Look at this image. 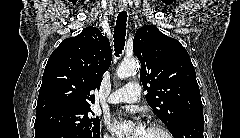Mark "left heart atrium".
Here are the masks:
<instances>
[{
    "mask_svg": "<svg viewBox=\"0 0 240 138\" xmlns=\"http://www.w3.org/2000/svg\"><path fill=\"white\" fill-rule=\"evenodd\" d=\"M111 129L117 136L130 138H143L146 132L140 122L131 124L123 118H116L111 125Z\"/></svg>",
    "mask_w": 240,
    "mask_h": 138,
    "instance_id": "39dd6f15",
    "label": "left heart atrium"
}]
</instances>
